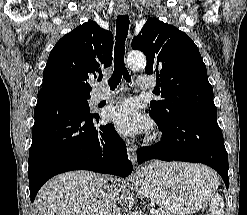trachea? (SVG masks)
<instances>
[{
  "label": "trachea",
  "mask_w": 247,
  "mask_h": 215,
  "mask_svg": "<svg viewBox=\"0 0 247 215\" xmlns=\"http://www.w3.org/2000/svg\"><path fill=\"white\" fill-rule=\"evenodd\" d=\"M116 42L114 47V71L108 80L110 89H115L123 77L127 82L131 81V77L124 63L125 41L129 29V17L127 15H119L116 21ZM102 80V77L99 78Z\"/></svg>",
  "instance_id": "1"
}]
</instances>
